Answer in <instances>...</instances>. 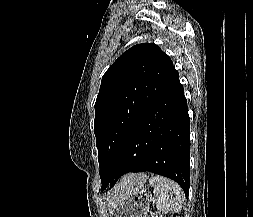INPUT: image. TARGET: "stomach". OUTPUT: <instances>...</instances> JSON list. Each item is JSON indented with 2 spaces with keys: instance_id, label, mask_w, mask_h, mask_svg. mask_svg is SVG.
I'll list each match as a JSON object with an SVG mask.
<instances>
[{
  "instance_id": "0dacf381",
  "label": "stomach",
  "mask_w": 253,
  "mask_h": 217,
  "mask_svg": "<svg viewBox=\"0 0 253 217\" xmlns=\"http://www.w3.org/2000/svg\"><path fill=\"white\" fill-rule=\"evenodd\" d=\"M150 203L147 188L143 185L135 187L129 194L113 202L110 217H147Z\"/></svg>"
}]
</instances>
